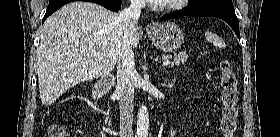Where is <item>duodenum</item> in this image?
Wrapping results in <instances>:
<instances>
[{"label": "duodenum", "mask_w": 280, "mask_h": 137, "mask_svg": "<svg viewBox=\"0 0 280 137\" xmlns=\"http://www.w3.org/2000/svg\"><path fill=\"white\" fill-rule=\"evenodd\" d=\"M113 85L114 79L112 77H105L95 85L92 92V101L95 104L96 116L100 121L105 122L108 125H116L117 120L100 106V102L107 91L113 87Z\"/></svg>", "instance_id": "obj_1"}]
</instances>
